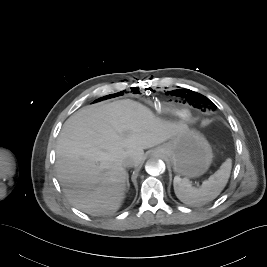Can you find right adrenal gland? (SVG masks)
I'll return each instance as SVG.
<instances>
[{"label":"right adrenal gland","mask_w":267,"mask_h":267,"mask_svg":"<svg viewBox=\"0 0 267 267\" xmlns=\"http://www.w3.org/2000/svg\"><path fill=\"white\" fill-rule=\"evenodd\" d=\"M126 186H127V190H129L130 183H129V176H128V174H127V178H126Z\"/></svg>","instance_id":"1"}]
</instances>
